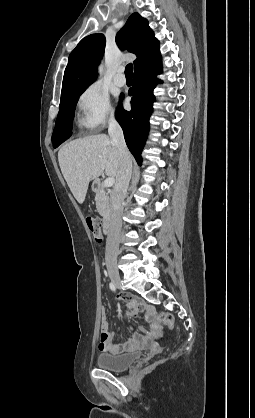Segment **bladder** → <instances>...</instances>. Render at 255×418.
Listing matches in <instances>:
<instances>
[{"instance_id": "obj_1", "label": "bladder", "mask_w": 255, "mask_h": 418, "mask_svg": "<svg viewBox=\"0 0 255 418\" xmlns=\"http://www.w3.org/2000/svg\"><path fill=\"white\" fill-rule=\"evenodd\" d=\"M140 356L141 353L138 351L124 354H100L97 357V365L109 371H123L136 362Z\"/></svg>"}]
</instances>
